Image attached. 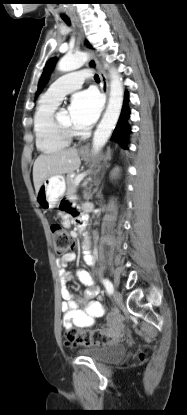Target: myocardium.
Listing matches in <instances>:
<instances>
[{
  "label": "myocardium",
  "instance_id": "f54148a6",
  "mask_svg": "<svg viewBox=\"0 0 187 415\" xmlns=\"http://www.w3.org/2000/svg\"><path fill=\"white\" fill-rule=\"evenodd\" d=\"M54 121H55V124H56L57 128L61 131V133L64 134L69 139H71L72 137H74L75 135L78 134V132L75 128L62 124L59 121L57 115H54Z\"/></svg>",
  "mask_w": 187,
  "mask_h": 415
}]
</instances>
